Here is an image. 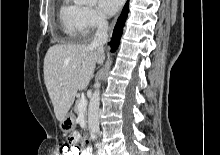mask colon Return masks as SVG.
I'll return each mask as SVG.
<instances>
[{
    "instance_id": "5ec220e1",
    "label": "colon",
    "mask_w": 220,
    "mask_h": 155,
    "mask_svg": "<svg viewBox=\"0 0 220 155\" xmlns=\"http://www.w3.org/2000/svg\"><path fill=\"white\" fill-rule=\"evenodd\" d=\"M62 147V155H81V147H76L77 144H66Z\"/></svg>"
}]
</instances>
